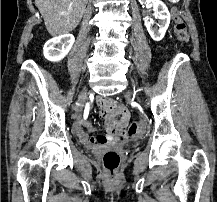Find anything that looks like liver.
I'll list each match as a JSON object with an SVG mask.
<instances>
[{"mask_svg":"<svg viewBox=\"0 0 217 202\" xmlns=\"http://www.w3.org/2000/svg\"><path fill=\"white\" fill-rule=\"evenodd\" d=\"M88 0H35L50 36H62L75 30L82 20Z\"/></svg>","mask_w":217,"mask_h":202,"instance_id":"liver-1","label":"liver"}]
</instances>
